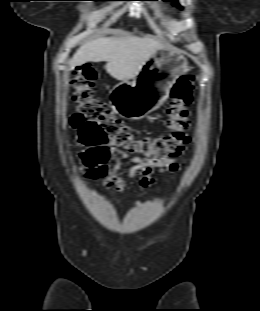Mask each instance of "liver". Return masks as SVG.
Instances as JSON below:
<instances>
[{
  "label": "liver",
  "instance_id": "1",
  "mask_svg": "<svg viewBox=\"0 0 260 311\" xmlns=\"http://www.w3.org/2000/svg\"><path fill=\"white\" fill-rule=\"evenodd\" d=\"M165 46L150 37L129 33L102 37L80 46L70 60V69L86 62H107L105 69L115 79L135 77L150 57Z\"/></svg>",
  "mask_w": 260,
  "mask_h": 311
}]
</instances>
